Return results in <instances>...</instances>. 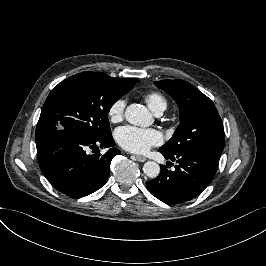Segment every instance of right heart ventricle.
Returning <instances> with one entry per match:
<instances>
[{
  "label": "right heart ventricle",
  "instance_id": "obj_1",
  "mask_svg": "<svg viewBox=\"0 0 266 266\" xmlns=\"http://www.w3.org/2000/svg\"><path fill=\"white\" fill-rule=\"evenodd\" d=\"M144 100L155 113H162L168 107V100L159 91H149L144 95Z\"/></svg>",
  "mask_w": 266,
  "mask_h": 266
}]
</instances>
